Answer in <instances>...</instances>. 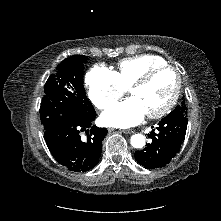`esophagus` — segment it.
<instances>
[{"label":"esophagus","mask_w":221,"mask_h":221,"mask_svg":"<svg viewBox=\"0 0 221 221\" xmlns=\"http://www.w3.org/2000/svg\"><path fill=\"white\" fill-rule=\"evenodd\" d=\"M123 133H126V134H132L134 133V130L132 129H126V130H122Z\"/></svg>","instance_id":"1"}]
</instances>
